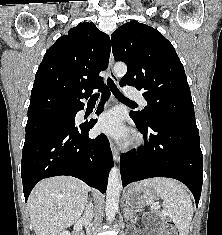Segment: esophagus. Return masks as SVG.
Listing matches in <instances>:
<instances>
[{"mask_svg": "<svg viewBox=\"0 0 222 235\" xmlns=\"http://www.w3.org/2000/svg\"><path fill=\"white\" fill-rule=\"evenodd\" d=\"M113 64H114V57H113V54L111 52L110 58H109V65H108V74L114 82H117L118 80H117V76L115 75L114 70H113ZM110 146H111L113 159H114L115 162H118L119 161L118 148L115 146V144L112 141L110 142Z\"/></svg>", "mask_w": 222, "mask_h": 235, "instance_id": "34e87169", "label": "esophagus"}]
</instances>
